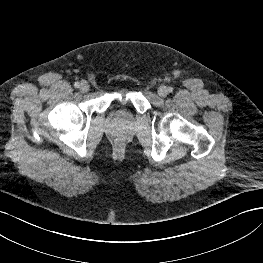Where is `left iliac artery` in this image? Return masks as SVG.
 <instances>
[{
	"label": "left iliac artery",
	"mask_w": 263,
	"mask_h": 263,
	"mask_svg": "<svg viewBox=\"0 0 263 263\" xmlns=\"http://www.w3.org/2000/svg\"><path fill=\"white\" fill-rule=\"evenodd\" d=\"M167 90H168V92H170V93H171V92L173 91V88H172V87H168V89H167Z\"/></svg>",
	"instance_id": "1"
}]
</instances>
